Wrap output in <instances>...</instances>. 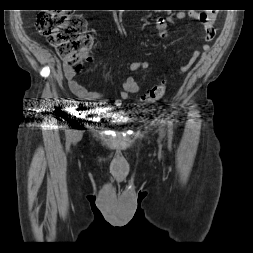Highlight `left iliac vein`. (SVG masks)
I'll return each instance as SVG.
<instances>
[{
	"instance_id": "obj_1",
	"label": "left iliac vein",
	"mask_w": 253,
	"mask_h": 253,
	"mask_svg": "<svg viewBox=\"0 0 253 253\" xmlns=\"http://www.w3.org/2000/svg\"><path fill=\"white\" fill-rule=\"evenodd\" d=\"M159 134H160V137L162 138V137H163V134H164V131H163L162 128L160 129Z\"/></svg>"
}]
</instances>
